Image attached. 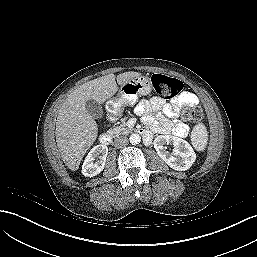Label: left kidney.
I'll return each mask as SVG.
<instances>
[{
    "label": "left kidney",
    "instance_id": "5707ae66",
    "mask_svg": "<svg viewBox=\"0 0 257 257\" xmlns=\"http://www.w3.org/2000/svg\"><path fill=\"white\" fill-rule=\"evenodd\" d=\"M154 148L159 157L172 169L185 171L189 169L196 160V154L191 145L176 136L160 135L155 138ZM173 145V152L167 151L165 145Z\"/></svg>",
    "mask_w": 257,
    "mask_h": 257
}]
</instances>
